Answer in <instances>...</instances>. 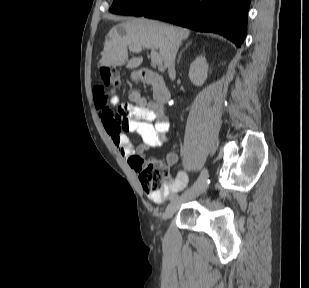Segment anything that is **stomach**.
<instances>
[{"label":"stomach","instance_id":"1","mask_svg":"<svg viewBox=\"0 0 309 288\" xmlns=\"http://www.w3.org/2000/svg\"><path fill=\"white\" fill-rule=\"evenodd\" d=\"M131 77H132L133 80H137V79L139 78V75H138L137 72H133V73L131 74Z\"/></svg>","mask_w":309,"mask_h":288}]
</instances>
